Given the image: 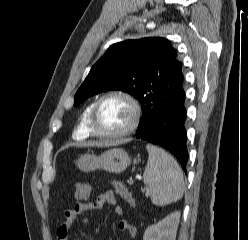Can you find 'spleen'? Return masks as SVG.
I'll list each match as a JSON object with an SVG mask.
<instances>
[{"mask_svg": "<svg viewBox=\"0 0 248 240\" xmlns=\"http://www.w3.org/2000/svg\"><path fill=\"white\" fill-rule=\"evenodd\" d=\"M148 162L143 174L153 204L164 206L183 196L184 176L177 161L163 149L148 144Z\"/></svg>", "mask_w": 248, "mask_h": 240, "instance_id": "spleen-1", "label": "spleen"}]
</instances>
